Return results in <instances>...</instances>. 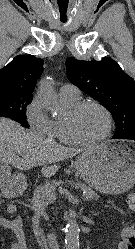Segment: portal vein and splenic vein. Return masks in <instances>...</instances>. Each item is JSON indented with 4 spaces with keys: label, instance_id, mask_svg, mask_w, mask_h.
I'll return each instance as SVG.
<instances>
[{
    "label": "portal vein and splenic vein",
    "instance_id": "18ae733b",
    "mask_svg": "<svg viewBox=\"0 0 135 249\" xmlns=\"http://www.w3.org/2000/svg\"><path fill=\"white\" fill-rule=\"evenodd\" d=\"M55 195L54 194H50L49 195V199H50V201L52 202L53 200H55ZM86 199V198H85Z\"/></svg>",
    "mask_w": 135,
    "mask_h": 249
}]
</instances>
